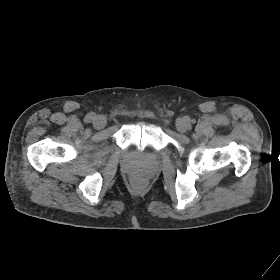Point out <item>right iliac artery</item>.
Returning a JSON list of instances; mask_svg holds the SVG:
<instances>
[{"mask_svg":"<svg viewBox=\"0 0 280 280\" xmlns=\"http://www.w3.org/2000/svg\"><path fill=\"white\" fill-rule=\"evenodd\" d=\"M95 114L94 113H89L86 117H85V122H91L95 119Z\"/></svg>","mask_w":280,"mask_h":280,"instance_id":"obj_1","label":"right iliac artery"}]
</instances>
